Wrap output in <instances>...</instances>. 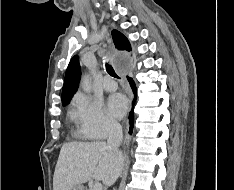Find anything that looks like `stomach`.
<instances>
[{"label":"stomach","mask_w":234,"mask_h":190,"mask_svg":"<svg viewBox=\"0 0 234 190\" xmlns=\"http://www.w3.org/2000/svg\"><path fill=\"white\" fill-rule=\"evenodd\" d=\"M71 190H85L83 185H75L71 188Z\"/></svg>","instance_id":"0dacf381"}]
</instances>
